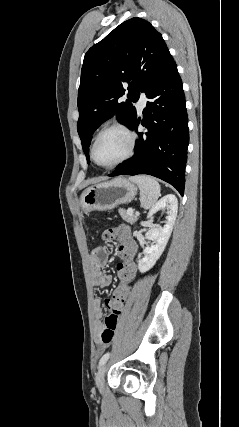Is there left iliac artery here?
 I'll use <instances>...</instances> for the list:
<instances>
[{
    "label": "left iliac artery",
    "instance_id": "left-iliac-artery-1",
    "mask_svg": "<svg viewBox=\"0 0 239 427\" xmlns=\"http://www.w3.org/2000/svg\"><path fill=\"white\" fill-rule=\"evenodd\" d=\"M109 357H110V353L109 352L105 353L99 361V367L102 366L109 359Z\"/></svg>",
    "mask_w": 239,
    "mask_h": 427
}]
</instances>
